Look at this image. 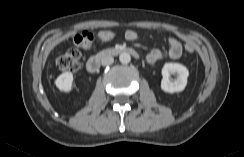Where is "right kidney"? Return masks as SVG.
Returning <instances> with one entry per match:
<instances>
[{
  "instance_id": "right-kidney-1",
  "label": "right kidney",
  "mask_w": 244,
  "mask_h": 157,
  "mask_svg": "<svg viewBox=\"0 0 244 157\" xmlns=\"http://www.w3.org/2000/svg\"><path fill=\"white\" fill-rule=\"evenodd\" d=\"M74 76L71 72L60 74L55 80L56 87L65 93H69L73 88Z\"/></svg>"
}]
</instances>
